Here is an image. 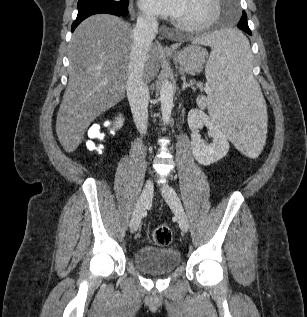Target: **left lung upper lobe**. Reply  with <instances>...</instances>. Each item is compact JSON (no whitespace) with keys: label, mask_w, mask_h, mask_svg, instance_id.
<instances>
[{"label":"left lung upper lobe","mask_w":307,"mask_h":317,"mask_svg":"<svg viewBox=\"0 0 307 317\" xmlns=\"http://www.w3.org/2000/svg\"><path fill=\"white\" fill-rule=\"evenodd\" d=\"M245 20L247 21V15H246L245 12H243L242 17H241L239 23L242 22V21H245ZM239 23H238V25H239ZM238 25H237V26H238Z\"/></svg>","instance_id":"obj_1"}]
</instances>
